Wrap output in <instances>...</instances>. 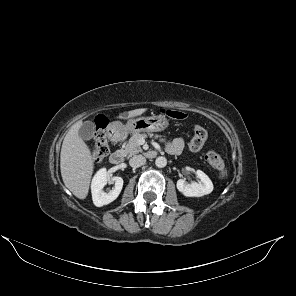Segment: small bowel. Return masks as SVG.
<instances>
[{
    "instance_id": "1",
    "label": "small bowel",
    "mask_w": 296,
    "mask_h": 296,
    "mask_svg": "<svg viewBox=\"0 0 296 296\" xmlns=\"http://www.w3.org/2000/svg\"><path fill=\"white\" fill-rule=\"evenodd\" d=\"M184 148V140L181 137L175 138L167 144V151L172 155H178Z\"/></svg>"
}]
</instances>
